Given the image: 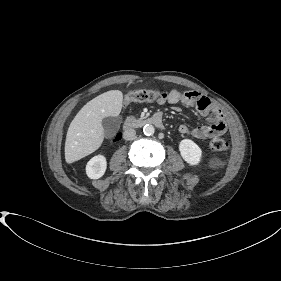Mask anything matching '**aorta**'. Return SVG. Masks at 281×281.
Wrapping results in <instances>:
<instances>
[{
    "instance_id": "762f6f07",
    "label": "aorta",
    "mask_w": 281,
    "mask_h": 281,
    "mask_svg": "<svg viewBox=\"0 0 281 281\" xmlns=\"http://www.w3.org/2000/svg\"><path fill=\"white\" fill-rule=\"evenodd\" d=\"M155 132V128L153 125L151 124H146L144 127H143V133L146 135V136H151L153 135Z\"/></svg>"
}]
</instances>
